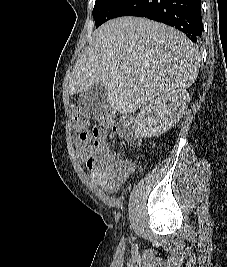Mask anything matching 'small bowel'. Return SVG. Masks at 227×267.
<instances>
[{
    "label": "small bowel",
    "instance_id": "1",
    "mask_svg": "<svg viewBox=\"0 0 227 267\" xmlns=\"http://www.w3.org/2000/svg\"><path fill=\"white\" fill-rule=\"evenodd\" d=\"M112 131L121 133L119 127H113ZM106 136L107 131L99 126H94L92 130H78L75 149L77 158L84 162L94 182L109 191L114 184L129 176L134 170V164L131 161H122L114 170L113 176L108 177L106 168L110 151L106 147Z\"/></svg>",
    "mask_w": 227,
    "mask_h": 267
}]
</instances>
